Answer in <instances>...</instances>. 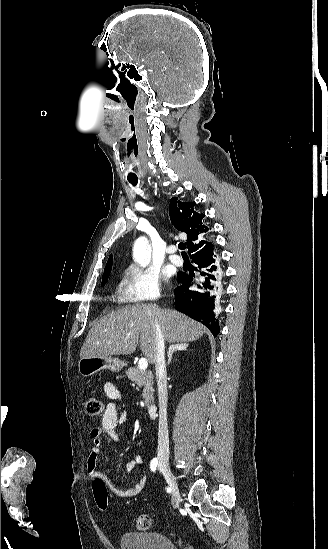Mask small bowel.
<instances>
[{
	"instance_id": "c3829d8e",
	"label": "small bowel",
	"mask_w": 328,
	"mask_h": 549,
	"mask_svg": "<svg viewBox=\"0 0 328 549\" xmlns=\"http://www.w3.org/2000/svg\"><path fill=\"white\" fill-rule=\"evenodd\" d=\"M104 392L109 398V402L106 404L105 410L100 417L99 425L92 429L90 436L92 439V446L89 452L86 468L88 474L94 478H101L106 480L105 476L98 469V462L101 450V441L104 436L113 441H120L119 428L127 419V412H119L116 405V401L120 400L121 394L118 388L111 382L104 384ZM144 463V459L140 455H133L126 462V469L129 473H132L137 465ZM111 489L121 497H134L139 495L146 485V477H141L133 486L127 489H122L116 486L111 481H108Z\"/></svg>"
}]
</instances>
